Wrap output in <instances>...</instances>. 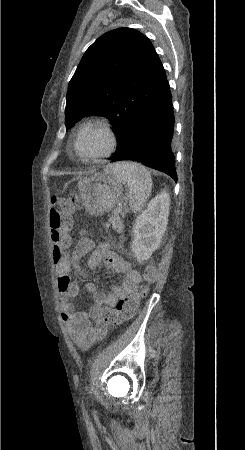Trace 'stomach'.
Here are the masks:
<instances>
[{"instance_id": "0dacf381", "label": "stomach", "mask_w": 245, "mask_h": 450, "mask_svg": "<svg viewBox=\"0 0 245 450\" xmlns=\"http://www.w3.org/2000/svg\"><path fill=\"white\" fill-rule=\"evenodd\" d=\"M77 189L86 212L93 216L110 212L123 194L122 182L110 171L81 178Z\"/></svg>"}]
</instances>
